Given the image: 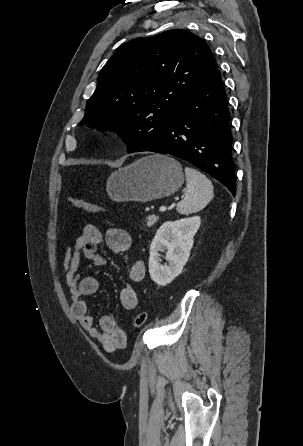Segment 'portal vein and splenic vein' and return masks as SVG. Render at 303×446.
I'll use <instances>...</instances> for the list:
<instances>
[{
	"label": "portal vein and splenic vein",
	"instance_id": "1",
	"mask_svg": "<svg viewBox=\"0 0 303 446\" xmlns=\"http://www.w3.org/2000/svg\"><path fill=\"white\" fill-rule=\"evenodd\" d=\"M166 209H167V208H166L165 206H161V207L159 208V211H160V212H164V211H166Z\"/></svg>",
	"mask_w": 303,
	"mask_h": 446
}]
</instances>
